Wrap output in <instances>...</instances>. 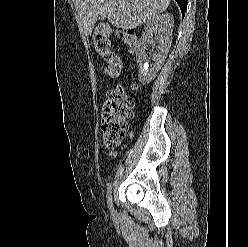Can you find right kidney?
Instances as JSON below:
<instances>
[{
    "instance_id": "1",
    "label": "right kidney",
    "mask_w": 248,
    "mask_h": 247,
    "mask_svg": "<svg viewBox=\"0 0 248 247\" xmlns=\"http://www.w3.org/2000/svg\"><path fill=\"white\" fill-rule=\"evenodd\" d=\"M173 26L174 19L170 13L157 15L147 22L136 49L139 69L138 79L141 84L150 83L165 62L167 53L171 47ZM153 38L157 41L158 45L157 52L152 58L154 64L150 66L148 64L149 60L146 50L149 46L153 45Z\"/></svg>"
}]
</instances>
